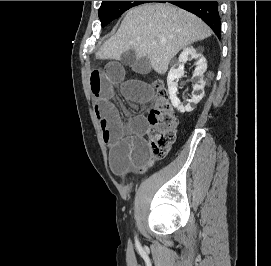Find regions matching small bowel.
Segmentation results:
<instances>
[{
  "instance_id": "obj_1",
  "label": "small bowel",
  "mask_w": 271,
  "mask_h": 266,
  "mask_svg": "<svg viewBox=\"0 0 271 266\" xmlns=\"http://www.w3.org/2000/svg\"><path fill=\"white\" fill-rule=\"evenodd\" d=\"M139 73L148 71V64L140 59L126 62ZM136 103L146 102L153 93L145 82L126 79L125 64L109 61L101 69L90 74V89L94 97V112L99 121L104 142L110 148V167L118 175L129 171L145 172L152 164L145 134L148 124L143 116H136L124 123L114 103V88Z\"/></svg>"
}]
</instances>
